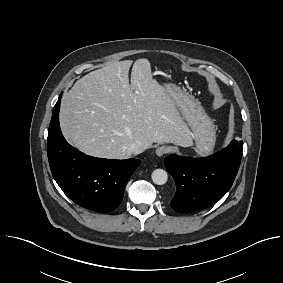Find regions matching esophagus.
I'll list each match as a JSON object with an SVG mask.
<instances>
[{"label":"esophagus","instance_id":"obj_1","mask_svg":"<svg viewBox=\"0 0 283 283\" xmlns=\"http://www.w3.org/2000/svg\"><path fill=\"white\" fill-rule=\"evenodd\" d=\"M171 151V148L169 146H160L156 149V155L161 157Z\"/></svg>","mask_w":283,"mask_h":283}]
</instances>
